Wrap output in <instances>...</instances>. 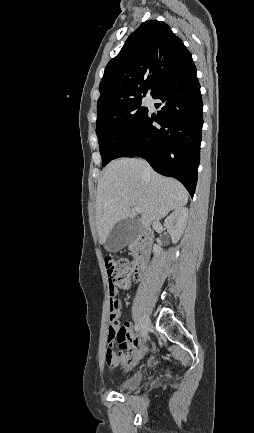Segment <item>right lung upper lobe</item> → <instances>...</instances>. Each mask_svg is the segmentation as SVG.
I'll use <instances>...</instances> for the list:
<instances>
[{"label":"right lung upper lobe","instance_id":"1","mask_svg":"<svg viewBox=\"0 0 254 433\" xmlns=\"http://www.w3.org/2000/svg\"><path fill=\"white\" fill-rule=\"evenodd\" d=\"M191 59L183 41L157 20L142 23L107 64L99 85L97 111L136 99L160 86Z\"/></svg>","mask_w":254,"mask_h":433}]
</instances>
